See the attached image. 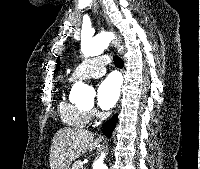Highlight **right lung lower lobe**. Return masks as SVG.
Returning <instances> with one entry per match:
<instances>
[{"instance_id": "right-lung-lower-lobe-1", "label": "right lung lower lobe", "mask_w": 200, "mask_h": 169, "mask_svg": "<svg viewBox=\"0 0 200 169\" xmlns=\"http://www.w3.org/2000/svg\"><path fill=\"white\" fill-rule=\"evenodd\" d=\"M116 122H117V114L103 125V132L107 137H111V134L116 126Z\"/></svg>"}]
</instances>
